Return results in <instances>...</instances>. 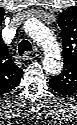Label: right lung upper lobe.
<instances>
[{
    "label": "right lung upper lobe",
    "instance_id": "obj_1",
    "mask_svg": "<svg viewBox=\"0 0 77 125\" xmlns=\"http://www.w3.org/2000/svg\"><path fill=\"white\" fill-rule=\"evenodd\" d=\"M8 57L9 59L6 58V61L4 60V58L2 60V63L4 64L2 75L3 79H5L6 83L9 84V86H15L22 75V70L13 63L9 54Z\"/></svg>",
    "mask_w": 77,
    "mask_h": 125
}]
</instances>
